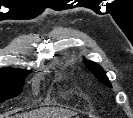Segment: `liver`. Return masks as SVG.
Instances as JSON below:
<instances>
[{
  "instance_id": "1",
  "label": "liver",
  "mask_w": 133,
  "mask_h": 118,
  "mask_svg": "<svg viewBox=\"0 0 133 118\" xmlns=\"http://www.w3.org/2000/svg\"><path fill=\"white\" fill-rule=\"evenodd\" d=\"M75 115L74 112L59 109L41 108L26 114L17 115L16 118H56L57 116L69 118Z\"/></svg>"
}]
</instances>
